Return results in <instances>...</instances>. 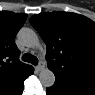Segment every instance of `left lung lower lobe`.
<instances>
[{
  "mask_svg": "<svg viewBox=\"0 0 95 95\" xmlns=\"http://www.w3.org/2000/svg\"><path fill=\"white\" fill-rule=\"evenodd\" d=\"M47 95H94L95 85L74 80L71 78H58L55 84L46 89Z\"/></svg>",
  "mask_w": 95,
  "mask_h": 95,
  "instance_id": "obj_1",
  "label": "left lung lower lobe"
}]
</instances>
